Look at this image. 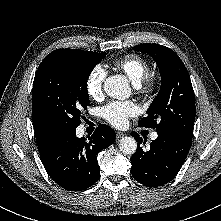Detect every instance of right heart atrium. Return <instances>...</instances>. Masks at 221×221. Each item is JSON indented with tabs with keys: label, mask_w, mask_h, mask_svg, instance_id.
<instances>
[{
	"label": "right heart atrium",
	"mask_w": 221,
	"mask_h": 221,
	"mask_svg": "<svg viewBox=\"0 0 221 221\" xmlns=\"http://www.w3.org/2000/svg\"><path fill=\"white\" fill-rule=\"evenodd\" d=\"M107 71L102 65L94 66L89 72L85 88L91 99L98 100L103 95V83L106 78Z\"/></svg>",
	"instance_id": "obj_1"
}]
</instances>
